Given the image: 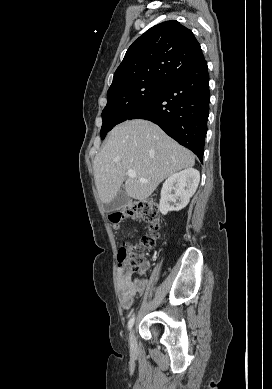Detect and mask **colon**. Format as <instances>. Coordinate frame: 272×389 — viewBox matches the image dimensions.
Wrapping results in <instances>:
<instances>
[{
  "label": "colon",
  "mask_w": 272,
  "mask_h": 389,
  "mask_svg": "<svg viewBox=\"0 0 272 389\" xmlns=\"http://www.w3.org/2000/svg\"><path fill=\"white\" fill-rule=\"evenodd\" d=\"M127 217L142 219L150 228V232L142 236L138 242L127 244L119 250L120 266L136 273L144 264V254L156 244L159 229L157 205L150 201H134L124 209L109 214V220L114 226H118Z\"/></svg>",
  "instance_id": "obj_1"
}]
</instances>
